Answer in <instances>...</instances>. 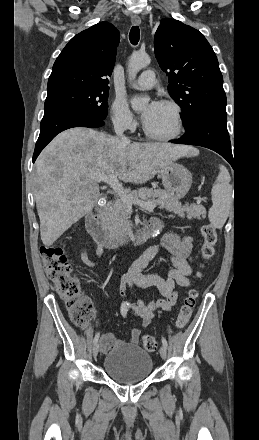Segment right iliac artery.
<instances>
[{"label": "right iliac artery", "instance_id": "right-iliac-artery-1", "mask_svg": "<svg viewBox=\"0 0 259 440\" xmlns=\"http://www.w3.org/2000/svg\"><path fill=\"white\" fill-rule=\"evenodd\" d=\"M99 333H97L96 335H95V337H94V339H93V343L95 344V343H97V341H98V339H99Z\"/></svg>", "mask_w": 259, "mask_h": 440}]
</instances>
